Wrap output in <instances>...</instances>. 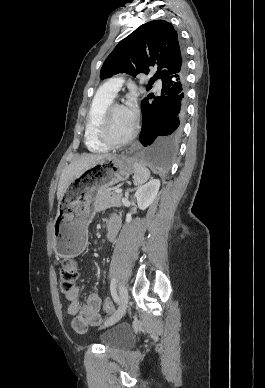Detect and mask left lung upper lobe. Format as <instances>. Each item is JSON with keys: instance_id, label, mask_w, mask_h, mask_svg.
I'll use <instances>...</instances> for the list:
<instances>
[{"instance_id": "left-lung-upper-lobe-1", "label": "left lung upper lobe", "mask_w": 265, "mask_h": 388, "mask_svg": "<svg viewBox=\"0 0 265 388\" xmlns=\"http://www.w3.org/2000/svg\"><path fill=\"white\" fill-rule=\"evenodd\" d=\"M150 66L157 68V72L149 85L186 69L185 54L177 32L167 21L147 22L120 41L106 58L100 78L123 72L133 76L147 74Z\"/></svg>"}]
</instances>
